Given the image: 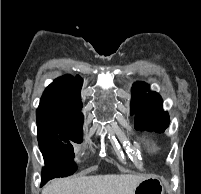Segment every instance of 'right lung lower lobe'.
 Returning <instances> with one entry per match:
<instances>
[{"mask_svg":"<svg viewBox=\"0 0 201 194\" xmlns=\"http://www.w3.org/2000/svg\"><path fill=\"white\" fill-rule=\"evenodd\" d=\"M46 166L50 165L51 163L55 162H61V159L64 158L65 153L60 150L50 149L47 151L42 152ZM47 168H43V174H42V184L43 186L48 180L51 179L52 175L47 174Z\"/></svg>","mask_w":201,"mask_h":194,"instance_id":"98d812e1","label":"right lung lower lobe"}]
</instances>
